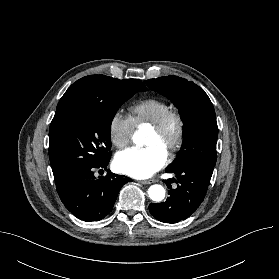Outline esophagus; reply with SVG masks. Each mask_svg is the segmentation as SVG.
Returning a JSON list of instances; mask_svg holds the SVG:
<instances>
[{
  "instance_id": "esophagus-1",
  "label": "esophagus",
  "mask_w": 279,
  "mask_h": 279,
  "mask_svg": "<svg viewBox=\"0 0 279 279\" xmlns=\"http://www.w3.org/2000/svg\"><path fill=\"white\" fill-rule=\"evenodd\" d=\"M139 183L141 184H151V183H154L155 180L153 179H150V180H141V181H138Z\"/></svg>"
}]
</instances>
